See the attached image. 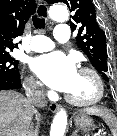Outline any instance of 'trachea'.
<instances>
[{
	"label": "trachea",
	"instance_id": "3493384b",
	"mask_svg": "<svg viewBox=\"0 0 117 136\" xmlns=\"http://www.w3.org/2000/svg\"><path fill=\"white\" fill-rule=\"evenodd\" d=\"M33 25L37 29H43L45 28V19L44 18H38L36 16L32 17Z\"/></svg>",
	"mask_w": 117,
	"mask_h": 136
}]
</instances>
